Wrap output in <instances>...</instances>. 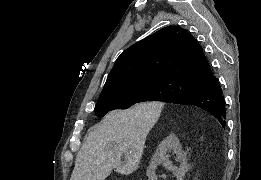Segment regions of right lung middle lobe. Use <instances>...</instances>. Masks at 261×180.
I'll use <instances>...</instances> for the list:
<instances>
[{
  "label": "right lung middle lobe",
  "instance_id": "obj_1",
  "mask_svg": "<svg viewBox=\"0 0 261 180\" xmlns=\"http://www.w3.org/2000/svg\"><path fill=\"white\" fill-rule=\"evenodd\" d=\"M199 83L172 79L136 84L102 94L95 106L96 115L103 117L115 109H127L144 101H168L169 99L196 89Z\"/></svg>",
  "mask_w": 261,
  "mask_h": 180
}]
</instances>
